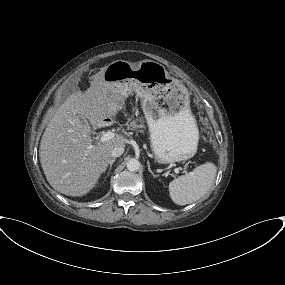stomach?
I'll return each mask as SVG.
<instances>
[{
    "label": "stomach",
    "mask_w": 285,
    "mask_h": 285,
    "mask_svg": "<svg viewBox=\"0 0 285 285\" xmlns=\"http://www.w3.org/2000/svg\"><path fill=\"white\" fill-rule=\"evenodd\" d=\"M104 81L126 94L135 92L150 132L151 148L160 164L185 161L197 150L199 132L190 109L187 88L152 60H117L103 74Z\"/></svg>",
    "instance_id": "obj_1"
}]
</instances>
